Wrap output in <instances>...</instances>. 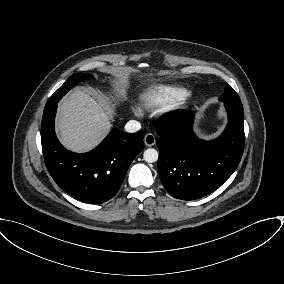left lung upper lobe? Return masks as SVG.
<instances>
[{"instance_id": "obj_1", "label": "left lung upper lobe", "mask_w": 284, "mask_h": 284, "mask_svg": "<svg viewBox=\"0 0 284 284\" xmlns=\"http://www.w3.org/2000/svg\"><path fill=\"white\" fill-rule=\"evenodd\" d=\"M219 99L224 103H230V104L242 106L239 96L233 90V88L228 84H226L225 92Z\"/></svg>"}]
</instances>
